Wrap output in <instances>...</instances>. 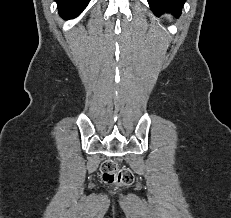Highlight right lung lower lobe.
Returning <instances> with one entry per match:
<instances>
[{"label":"right lung lower lobe","mask_w":231,"mask_h":218,"mask_svg":"<svg viewBox=\"0 0 231 218\" xmlns=\"http://www.w3.org/2000/svg\"><path fill=\"white\" fill-rule=\"evenodd\" d=\"M58 5L59 14L64 18H71L80 14L88 5L90 0H55Z\"/></svg>","instance_id":"98d812e1"}]
</instances>
